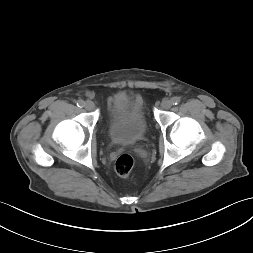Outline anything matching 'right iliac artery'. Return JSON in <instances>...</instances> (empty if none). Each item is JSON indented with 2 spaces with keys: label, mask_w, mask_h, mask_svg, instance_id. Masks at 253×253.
Here are the masks:
<instances>
[{
  "label": "right iliac artery",
  "mask_w": 253,
  "mask_h": 253,
  "mask_svg": "<svg viewBox=\"0 0 253 253\" xmlns=\"http://www.w3.org/2000/svg\"><path fill=\"white\" fill-rule=\"evenodd\" d=\"M84 104H85V102L83 100H78L77 101V106L80 107V108L84 107Z\"/></svg>",
  "instance_id": "obj_1"
}]
</instances>
